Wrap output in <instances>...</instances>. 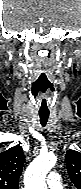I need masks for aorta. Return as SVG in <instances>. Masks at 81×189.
I'll list each match as a JSON object with an SVG mask.
<instances>
[{
	"label": "aorta",
	"instance_id": "aorta-1",
	"mask_svg": "<svg viewBox=\"0 0 81 189\" xmlns=\"http://www.w3.org/2000/svg\"><path fill=\"white\" fill-rule=\"evenodd\" d=\"M57 157L52 153L40 154L27 167L24 175V189H47L45 178L55 166Z\"/></svg>",
	"mask_w": 81,
	"mask_h": 189
}]
</instances>
